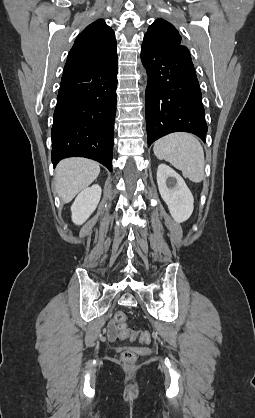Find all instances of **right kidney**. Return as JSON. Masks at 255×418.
<instances>
[{"instance_id": "ca27d5eb", "label": "right kidney", "mask_w": 255, "mask_h": 418, "mask_svg": "<svg viewBox=\"0 0 255 418\" xmlns=\"http://www.w3.org/2000/svg\"><path fill=\"white\" fill-rule=\"evenodd\" d=\"M101 187L95 184L82 190L76 197L71 206L72 221L77 224H83L95 211L100 198Z\"/></svg>"}]
</instances>
